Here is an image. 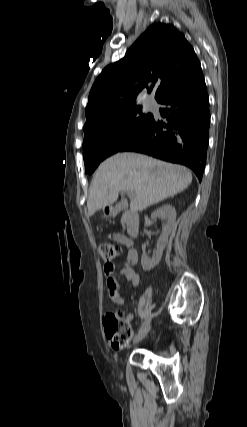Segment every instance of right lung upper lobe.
Instances as JSON below:
<instances>
[{
    "mask_svg": "<svg viewBox=\"0 0 247 427\" xmlns=\"http://www.w3.org/2000/svg\"><path fill=\"white\" fill-rule=\"evenodd\" d=\"M201 70L200 62L184 35L170 24L151 25L124 58L108 65L89 94L84 129L113 119L136 106L137 95L156 92L159 101L172 88Z\"/></svg>",
    "mask_w": 247,
    "mask_h": 427,
    "instance_id": "obj_1",
    "label": "right lung upper lobe"
}]
</instances>
